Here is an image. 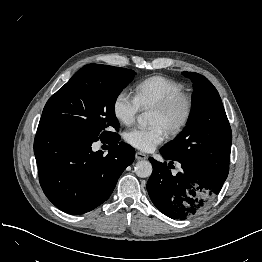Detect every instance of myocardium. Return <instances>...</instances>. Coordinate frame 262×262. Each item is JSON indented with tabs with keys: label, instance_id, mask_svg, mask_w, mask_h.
Returning <instances> with one entry per match:
<instances>
[{
	"label": "myocardium",
	"instance_id": "1",
	"mask_svg": "<svg viewBox=\"0 0 262 262\" xmlns=\"http://www.w3.org/2000/svg\"><path fill=\"white\" fill-rule=\"evenodd\" d=\"M152 109L163 115H170L176 110H180L178 119L166 129L170 135L174 136L181 133L188 126L193 115L194 104L192 97L182 92L162 100L154 105Z\"/></svg>",
	"mask_w": 262,
	"mask_h": 262
}]
</instances>
